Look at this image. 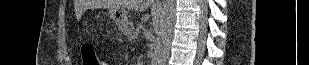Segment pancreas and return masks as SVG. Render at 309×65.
<instances>
[{"label":"pancreas","instance_id":"obj_1","mask_svg":"<svg viewBox=\"0 0 309 65\" xmlns=\"http://www.w3.org/2000/svg\"><path fill=\"white\" fill-rule=\"evenodd\" d=\"M132 26L130 27V32H131Z\"/></svg>","mask_w":309,"mask_h":65}]
</instances>
